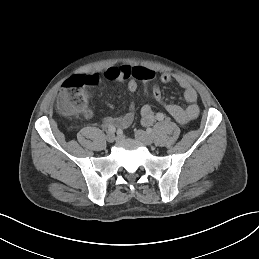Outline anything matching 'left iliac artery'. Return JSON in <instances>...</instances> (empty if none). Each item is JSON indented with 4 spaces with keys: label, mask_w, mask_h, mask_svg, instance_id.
Wrapping results in <instances>:
<instances>
[{
    "label": "left iliac artery",
    "mask_w": 259,
    "mask_h": 259,
    "mask_svg": "<svg viewBox=\"0 0 259 259\" xmlns=\"http://www.w3.org/2000/svg\"><path fill=\"white\" fill-rule=\"evenodd\" d=\"M164 118H165V116H164L163 113H157V114H156V119H157L158 121H162Z\"/></svg>",
    "instance_id": "obj_1"
}]
</instances>
